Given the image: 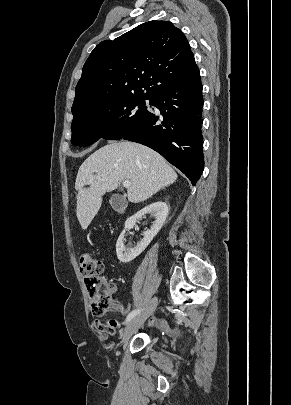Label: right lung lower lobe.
Instances as JSON below:
<instances>
[{"label": "right lung lower lobe", "instance_id": "98d812e1", "mask_svg": "<svg viewBox=\"0 0 291 405\" xmlns=\"http://www.w3.org/2000/svg\"><path fill=\"white\" fill-rule=\"evenodd\" d=\"M200 74L161 88L150 100L161 115L150 111L146 119L123 136L160 153L194 185L204 170Z\"/></svg>", "mask_w": 291, "mask_h": 405}]
</instances>
